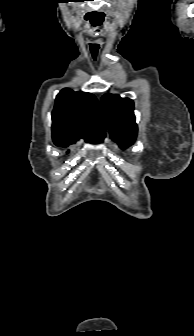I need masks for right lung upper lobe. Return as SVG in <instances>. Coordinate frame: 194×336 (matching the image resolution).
Returning <instances> with one entry per match:
<instances>
[{
    "label": "right lung upper lobe",
    "instance_id": "obj_1",
    "mask_svg": "<svg viewBox=\"0 0 194 336\" xmlns=\"http://www.w3.org/2000/svg\"><path fill=\"white\" fill-rule=\"evenodd\" d=\"M53 140L89 142L102 141L105 126L96 97L90 93L74 92L69 88L60 91L52 112Z\"/></svg>",
    "mask_w": 194,
    "mask_h": 336
}]
</instances>
